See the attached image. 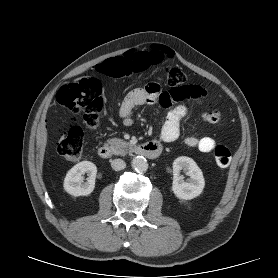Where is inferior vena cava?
Here are the masks:
<instances>
[{"label": "inferior vena cava", "instance_id": "1", "mask_svg": "<svg viewBox=\"0 0 278 278\" xmlns=\"http://www.w3.org/2000/svg\"><path fill=\"white\" fill-rule=\"evenodd\" d=\"M111 167L115 171H120L126 167V163L122 159H114L111 162Z\"/></svg>", "mask_w": 278, "mask_h": 278}]
</instances>
